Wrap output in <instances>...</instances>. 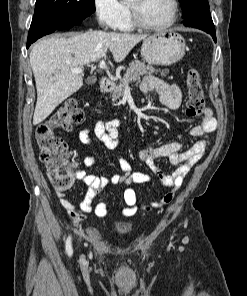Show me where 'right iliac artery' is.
Listing matches in <instances>:
<instances>
[{
	"label": "right iliac artery",
	"mask_w": 247,
	"mask_h": 296,
	"mask_svg": "<svg viewBox=\"0 0 247 296\" xmlns=\"http://www.w3.org/2000/svg\"><path fill=\"white\" fill-rule=\"evenodd\" d=\"M66 251L69 256H71L73 253L70 236L66 240Z\"/></svg>",
	"instance_id": "obj_1"
}]
</instances>
